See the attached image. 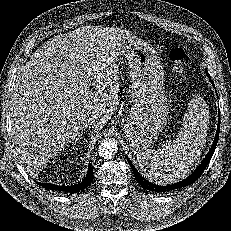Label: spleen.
I'll list each match as a JSON object with an SVG mask.
<instances>
[{
  "mask_svg": "<svg viewBox=\"0 0 231 231\" xmlns=\"http://www.w3.org/2000/svg\"><path fill=\"white\" fill-rule=\"evenodd\" d=\"M207 121L208 114L201 99H192L175 140L164 143L158 150L147 149L137 153L143 174L150 181L162 185L184 178L205 145Z\"/></svg>",
  "mask_w": 231,
  "mask_h": 231,
  "instance_id": "3e777b00",
  "label": "spleen"
}]
</instances>
